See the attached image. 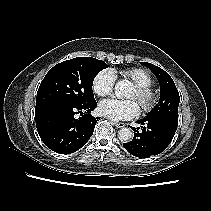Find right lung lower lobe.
Wrapping results in <instances>:
<instances>
[{
  "mask_svg": "<svg viewBox=\"0 0 211 211\" xmlns=\"http://www.w3.org/2000/svg\"><path fill=\"white\" fill-rule=\"evenodd\" d=\"M96 101L87 105L58 103L37 104L35 121L44 144L60 154H70L83 147L93 134L98 118L91 116ZM80 114V117L77 116Z\"/></svg>",
  "mask_w": 211,
  "mask_h": 211,
  "instance_id": "right-lung-lower-lobe-1",
  "label": "right lung lower lobe"
}]
</instances>
